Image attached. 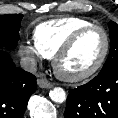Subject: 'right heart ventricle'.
<instances>
[{"instance_id":"right-heart-ventricle-1","label":"right heart ventricle","mask_w":118,"mask_h":118,"mask_svg":"<svg viewBox=\"0 0 118 118\" xmlns=\"http://www.w3.org/2000/svg\"><path fill=\"white\" fill-rule=\"evenodd\" d=\"M84 18L68 16L39 24L33 33L34 44L46 58H52L59 47L78 29L91 25Z\"/></svg>"}]
</instances>
